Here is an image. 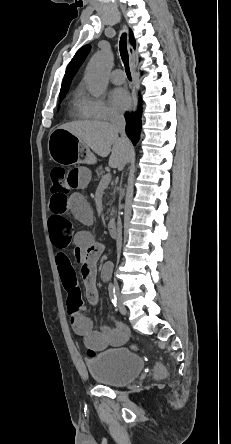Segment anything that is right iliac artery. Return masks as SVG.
<instances>
[{"label":"right iliac artery","mask_w":231,"mask_h":444,"mask_svg":"<svg viewBox=\"0 0 231 444\" xmlns=\"http://www.w3.org/2000/svg\"><path fill=\"white\" fill-rule=\"evenodd\" d=\"M108 291H109V297L111 299V302L116 307L117 306V296H116V292H115V288H114L113 284H109Z\"/></svg>","instance_id":"obj_1"}]
</instances>
